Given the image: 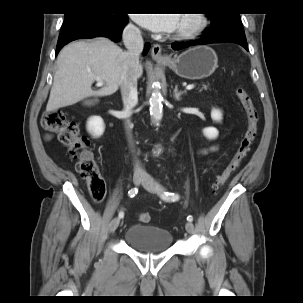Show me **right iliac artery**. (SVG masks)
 Instances as JSON below:
<instances>
[{"label":"right iliac artery","mask_w":303,"mask_h":303,"mask_svg":"<svg viewBox=\"0 0 303 303\" xmlns=\"http://www.w3.org/2000/svg\"><path fill=\"white\" fill-rule=\"evenodd\" d=\"M137 192H138L137 188H132L131 190H129L128 195H129V197L133 198L137 194ZM118 216H119V218H123L124 212L120 211Z\"/></svg>","instance_id":"82829eb1"}]
</instances>
